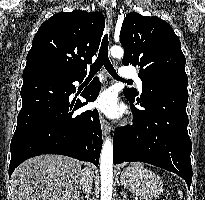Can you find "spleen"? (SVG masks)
Instances as JSON below:
<instances>
[{
  "label": "spleen",
  "instance_id": "obj_1",
  "mask_svg": "<svg viewBox=\"0 0 205 200\" xmlns=\"http://www.w3.org/2000/svg\"><path fill=\"white\" fill-rule=\"evenodd\" d=\"M179 197L182 199L183 195L181 191H178Z\"/></svg>",
  "mask_w": 205,
  "mask_h": 200
}]
</instances>
